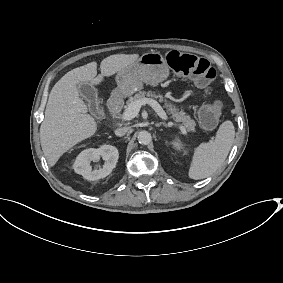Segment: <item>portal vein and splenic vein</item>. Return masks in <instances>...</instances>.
Segmentation results:
<instances>
[{
	"instance_id": "1",
	"label": "portal vein and splenic vein",
	"mask_w": 283,
	"mask_h": 283,
	"mask_svg": "<svg viewBox=\"0 0 283 283\" xmlns=\"http://www.w3.org/2000/svg\"><path fill=\"white\" fill-rule=\"evenodd\" d=\"M146 104L150 105L160 118L164 120L167 119V115L160 104L156 100L150 98H144L142 100L130 103L123 112L122 119L126 121L135 118L138 115L141 106ZM169 125H173V123L171 122Z\"/></svg>"
}]
</instances>
